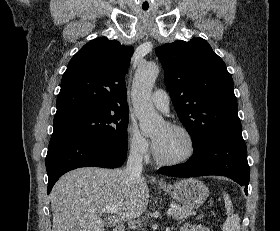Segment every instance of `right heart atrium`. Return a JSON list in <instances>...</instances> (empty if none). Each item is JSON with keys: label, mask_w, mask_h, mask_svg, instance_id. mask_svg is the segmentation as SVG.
<instances>
[{"label": "right heart atrium", "mask_w": 280, "mask_h": 231, "mask_svg": "<svg viewBox=\"0 0 280 231\" xmlns=\"http://www.w3.org/2000/svg\"><path fill=\"white\" fill-rule=\"evenodd\" d=\"M126 146L129 152L141 157H147L150 153L148 140L140 133L134 122H129L126 128Z\"/></svg>", "instance_id": "1"}]
</instances>
